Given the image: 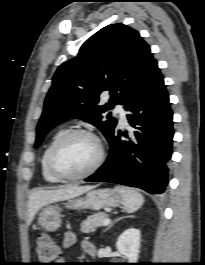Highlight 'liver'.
Instances as JSON below:
<instances>
[{"instance_id": "1", "label": "liver", "mask_w": 205, "mask_h": 265, "mask_svg": "<svg viewBox=\"0 0 205 265\" xmlns=\"http://www.w3.org/2000/svg\"><path fill=\"white\" fill-rule=\"evenodd\" d=\"M93 188L94 186L67 185L54 190L33 191L28 201L27 224L32 222L37 212L44 206L80 196Z\"/></svg>"}]
</instances>
